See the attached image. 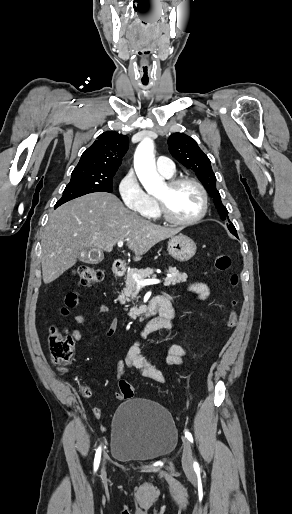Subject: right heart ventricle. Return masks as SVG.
Masks as SVG:
<instances>
[{
	"instance_id": "e07e8e85",
	"label": "right heart ventricle",
	"mask_w": 292,
	"mask_h": 514,
	"mask_svg": "<svg viewBox=\"0 0 292 514\" xmlns=\"http://www.w3.org/2000/svg\"><path fill=\"white\" fill-rule=\"evenodd\" d=\"M143 212L147 213L150 216L156 217V218L160 217V213H159V211L157 209V206L155 204L154 197L149 196L148 206H147V208Z\"/></svg>"
}]
</instances>
